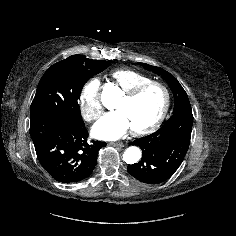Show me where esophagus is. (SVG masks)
Masks as SVG:
<instances>
[{"label":"esophagus","mask_w":236,"mask_h":236,"mask_svg":"<svg viewBox=\"0 0 236 236\" xmlns=\"http://www.w3.org/2000/svg\"><path fill=\"white\" fill-rule=\"evenodd\" d=\"M108 145L114 146V147H123L124 144L122 142H110Z\"/></svg>","instance_id":"esophagus-1"}]
</instances>
